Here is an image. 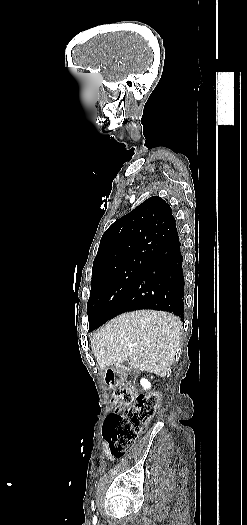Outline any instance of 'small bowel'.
Returning <instances> with one entry per match:
<instances>
[{"label": "small bowel", "instance_id": "small-bowel-1", "mask_svg": "<svg viewBox=\"0 0 247 525\" xmlns=\"http://www.w3.org/2000/svg\"><path fill=\"white\" fill-rule=\"evenodd\" d=\"M104 451L109 461H113L114 457L109 453L107 446L104 444Z\"/></svg>", "mask_w": 247, "mask_h": 525}]
</instances>
